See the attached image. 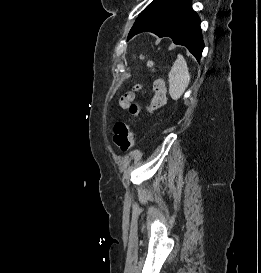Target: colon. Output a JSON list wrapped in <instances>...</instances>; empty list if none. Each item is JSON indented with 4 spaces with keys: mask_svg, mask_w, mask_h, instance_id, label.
Segmentation results:
<instances>
[{
    "mask_svg": "<svg viewBox=\"0 0 261 273\" xmlns=\"http://www.w3.org/2000/svg\"><path fill=\"white\" fill-rule=\"evenodd\" d=\"M150 65L153 66V62H150ZM137 89L138 87H135L132 91L124 93L118 101V106L128 109L133 117H137L142 110L152 113L166 103V86L161 77H156L153 82V97L147 106L134 101V92ZM133 124L134 121L117 122L114 126L113 141L121 151H128L134 144Z\"/></svg>",
    "mask_w": 261,
    "mask_h": 273,
    "instance_id": "colon-1",
    "label": "colon"
}]
</instances>
